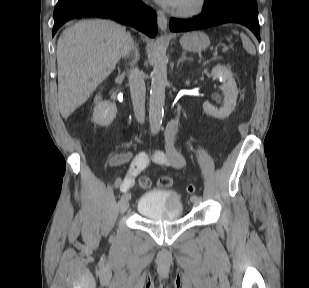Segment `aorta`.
<instances>
[{"label":"aorta","instance_id":"obj_1","mask_svg":"<svg viewBox=\"0 0 309 288\" xmlns=\"http://www.w3.org/2000/svg\"><path fill=\"white\" fill-rule=\"evenodd\" d=\"M166 85L167 57L164 49L160 45H157L153 58L152 82L149 101V124L153 135H156L159 132L162 124Z\"/></svg>","mask_w":309,"mask_h":288}]
</instances>
